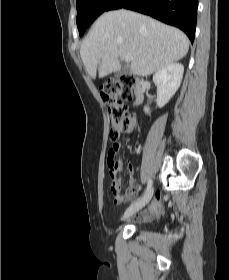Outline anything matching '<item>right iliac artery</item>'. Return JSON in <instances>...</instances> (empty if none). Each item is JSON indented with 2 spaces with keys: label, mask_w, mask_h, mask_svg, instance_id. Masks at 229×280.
<instances>
[{
  "label": "right iliac artery",
  "mask_w": 229,
  "mask_h": 280,
  "mask_svg": "<svg viewBox=\"0 0 229 280\" xmlns=\"http://www.w3.org/2000/svg\"><path fill=\"white\" fill-rule=\"evenodd\" d=\"M151 186H152V180L149 179V180H148V183H147V187H146V189H145V192L143 193V196H145V195L148 193V191L151 189ZM139 199H140V198H139ZM137 201H138V200H137ZM133 203H135V201H134Z\"/></svg>",
  "instance_id": "obj_1"
}]
</instances>
